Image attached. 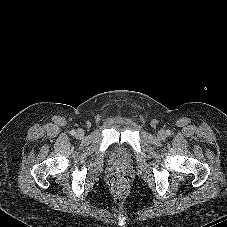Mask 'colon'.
<instances>
[{
    "mask_svg": "<svg viewBox=\"0 0 227 227\" xmlns=\"http://www.w3.org/2000/svg\"><path fill=\"white\" fill-rule=\"evenodd\" d=\"M109 190L115 200H124L130 192V183L126 175L118 173L108 181Z\"/></svg>",
    "mask_w": 227,
    "mask_h": 227,
    "instance_id": "5ec220e1",
    "label": "colon"
}]
</instances>
